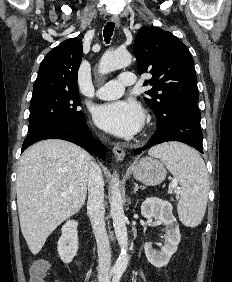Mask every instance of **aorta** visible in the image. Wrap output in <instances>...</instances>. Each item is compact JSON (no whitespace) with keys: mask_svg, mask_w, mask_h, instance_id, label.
Returning <instances> with one entry per match:
<instances>
[{"mask_svg":"<svg viewBox=\"0 0 232 282\" xmlns=\"http://www.w3.org/2000/svg\"><path fill=\"white\" fill-rule=\"evenodd\" d=\"M132 62L131 54L126 50H112L106 52L99 62V72L107 74L116 69L124 68ZM110 214L113 220L115 235L121 253L113 266V271L117 274H122L128 265L129 256L127 253L128 234L126 228V217L123 208V199L120 190L118 174H113L112 191L110 197Z\"/></svg>","mask_w":232,"mask_h":282,"instance_id":"obj_1","label":"aorta"}]
</instances>
